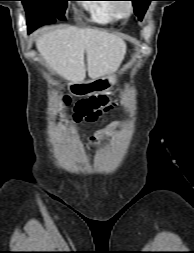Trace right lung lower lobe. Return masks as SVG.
<instances>
[{
	"mask_svg": "<svg viewBox=\"0 0 194 253\" xmlns=\"http://www.w3.org/2000/svg\"><path fill=\"white\" fill-rule=\"evenodd\" d=\"M34 29H32L31 27H28V32L31 33Z\"/></svg>",
	"mask_w": 194,
	"mask_h": 253,
	"instance_id": "98d812e1",
	"label": "right lung lower lobe"
}]
</instances>
